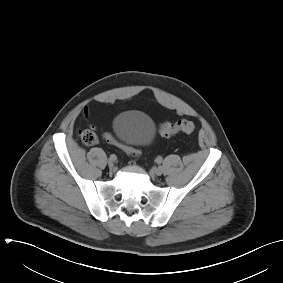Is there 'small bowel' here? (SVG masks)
Returning a JSON list of instances; mask_svg holds the SVG:
<instances>
[{
  "label": "small bowel",
  "mask_w": 283,
  "mask_h": 283,
  "mask_svg": "<svg viewBox=\"0 0 283 283\" xmlns=\"http://www.w3.org/2000/svg\"><path fill=\"white\" fill-rule=\"evenodd\" d=\"M84 113H85V115H86V116H88V115H89V111H88V109H87V108H85Z\"/></svg>",
  "instance_id": "1"
}]
</instances>
